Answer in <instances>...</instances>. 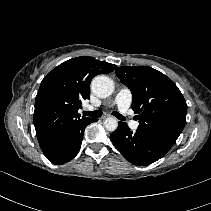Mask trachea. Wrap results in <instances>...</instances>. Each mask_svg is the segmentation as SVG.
<instances>
[{"instance_id":"3493384b","label":"trachea","mask_w":211,"mask_h":211,"mask_svg":"<svg viewBox=\"0 0 211 211\" xmlns=\"http://www.w3.org/2000/svg\"><path fill=\"white\" fill-rule=\"evenodd\" d=\"M84 115L92 117V118H99L102 115V111L100 110H95V111H84ZM112 115H114L116 118L119 120L124 121L125 117H123L120 113L118 112H112Z\"/></svg>"}]
</instances>
